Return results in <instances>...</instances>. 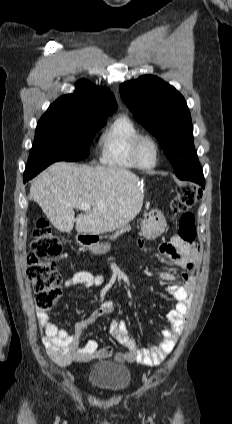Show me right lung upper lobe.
<instances>
[{
    "mask_svg": "<svg viewBox=\"0 0 232 424\" xmlns=\"http://www.w3.org/2000/svg\"><path fill=\"white\" fill-rule=\"evenodd\" d=\"M74 94L61 96L47 112H72L94 119H105L117 108L113 94L106 88H95L88 80L76 83Z\"/></svg>",
    "mask_w": 232,
    "mask_h": 424,
    "instance_id": "1",
    "label": "right lung upper lobe"
}]
</instances>
